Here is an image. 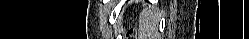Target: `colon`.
<instances>
[{
  "label": "colon",
  "mask_w": 249,
  "mask_h": 39,
  "mask_svg": "<svg viewBox=\"0 0 249 39\" xmlns=\"http://www.w3.org/2000/svg\"><path fill=\"white\" fill-rule=\"evenodd\" d=\"M130 32H131V33H130V36H133L134 31H133V30H131Z\"/></svg>",
  "instance_id": "5ec220e1"
}]
</instances>
